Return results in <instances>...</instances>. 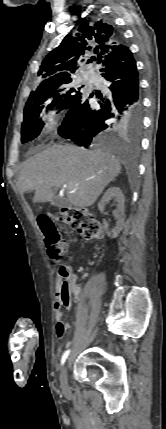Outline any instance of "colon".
<instances>
[{
	"label": "colon",
	"mask_w": 166,
	"mask_h": 429,
	"mask_svg": "<svg viewBox=\"0 0 166 429\" xmlns=\"http://www.w3.org/2000/svg\"><path fill=\"white\" fill-rule=\"evenodd\" d=\"M58 220L76 230L84 239L92 240L101 237L102 231L95 215L87 209L67 207L58 212ZM38 225L43 233L48 255L53 260H60L66 253V244L57 230L53 220L46 215L38 217ZM64 291L70 292L73 283L65 281Z\"/></svg>",
	"instance_id": "colon-1"
}]
</instances>
